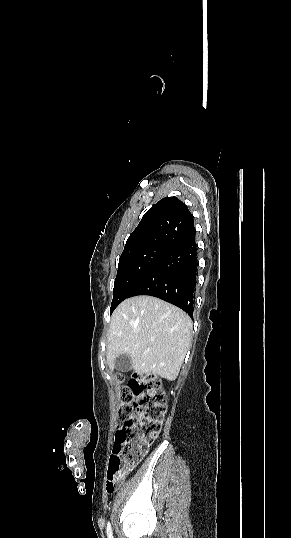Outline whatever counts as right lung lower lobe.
I'll use <instances>...</instances> for the list:
<instances>
[{"label": "right lung lower lobe", "mask_w": 291, "mask_h": 538, "mask_svg": "<svg viewBox=\"0 0 291 538\" xmlns=\"http://www.w3.org/2000/svg\"><path fill=\"white\" fill-rule=\"evenodd\" d=\"M197 266V246L193 236L171 248L137 284L129 297L154 296L193 316Z\"/></svg>", "instance_id": "right-lung-lower-lobe-1"}]
</instances>
